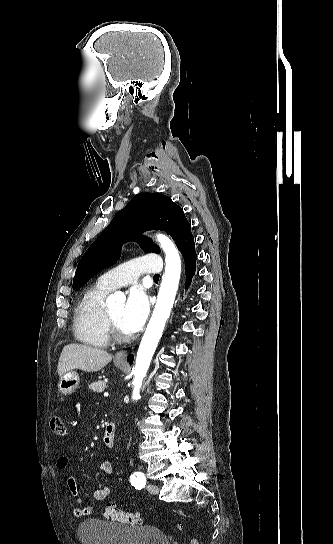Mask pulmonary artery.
Segmentation results:
<instances>
[{"mask_svg":"<svg viewBox=\"0 0 333 544\" xmlns=\"http://www.w3.org/2000/svg\"><path fill=\"white\" fill-rule=\"evenodd\" d=\"M162 271V261L157 255L133 258L100 276L98 282L113 290L134 282L142 274H158Z\"/></svg>","mask_w":333,"mask_h":544,"instance_id":"pulmonary-artery-1","label":"pulmonary artery"}]
</instances>
